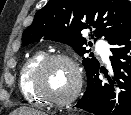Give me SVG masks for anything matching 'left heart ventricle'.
<instances>
[{
  "label": "left heart ventricle",
  "instance_id": "1",
  "mask_svg": "<svg viewBox=\"0 0 131 115\" xmlns=\"http://www.w3.org/2000/svg\"><path fill=\"white\" fill-rule=\"evenodd\" d=\"M75 85V74L72 67L65 62L49 64L41 76L43 91L53 98H66Z\"/></svg>",
  "mask_w": 131,
  "mask_h": 115
}]
</instances>
